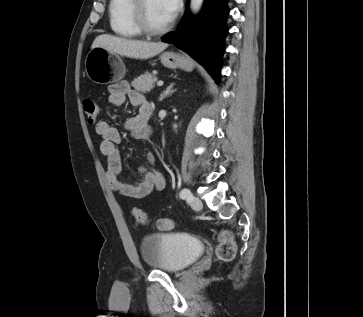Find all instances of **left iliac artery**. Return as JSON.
<instances>
[{"instance_id": "left-iliac-artery-1", "label": "left iliac artery", "mask_w": 363, "mask_h": 317, "mask_svg": "<svg viewBox=\"0 0 363 317\" xmlns=\"http://www.w3.org/2000/svg\"><path fill=\"white\" fill-rule=\"evenodd\" d=\"M179 196L182 199H188L190 196H192V194H191L189 189L184 188V189L181 190Z\"/></svg>"}]
</instances>
